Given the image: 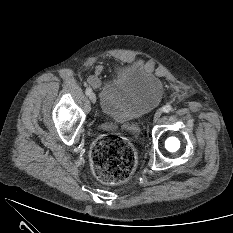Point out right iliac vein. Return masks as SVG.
Here are the masks:
<instances>
[{
  "instance_id": "63e3f726",
  "label": "right iliac vein",
  "mask_w": 233,
  "mask_h": 233,
  "mask_svg": "<svg viewBox=\"0 0 233 233\" xmlns=\"http://www.w3.org/2000/svg\"><path fill=\"white\" fill-rule=\"evenodd\" d=\"M89 99H90V101H91L92 103H95V102H96V95H95L94 93H91V94L89 95Z\"/></svg>"
}]
</instances>
